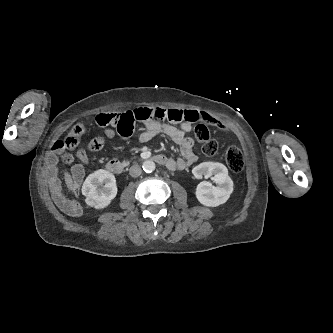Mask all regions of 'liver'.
<instances>
[{"mask_svg":"<svg viewBox=\"0 0 333 333\" xmlns=\"http://www.w3.org/2000/svg\"><path fill=\"white\" fill-rule=\"evenodd\" d=\"M64 178H65L66 185L70 190H75L77 188V185L74 184L71 175L67 171L64 172Z\"/></svg>","mask_w":333,"mask_h":333,"instance_id":"liver-1","label":"liver"}]
</instances>
